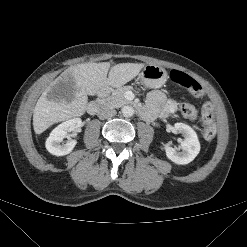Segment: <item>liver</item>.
<instances>
[{
    "label": "liver",
    "instance_id": "liver-1",
    "mask_svg": "<svg viewBox=\"0 0 247 247\" xmlns=\"http://www.w3.org/2000/svg\"><path fill=\"white\" fill-rule=\"evenodd\" d=\"M144 66L143 63H120L110 69L109 62H88L70 67L38 99L33 111L35 133L41 134L55 123L82 116L87 95H95L108 86L121 87L135 78ZM60 83L66 87H59Z\"/></svg>",
    "mask_w": 247,
    "mask_h": 247
}]
</instances>
